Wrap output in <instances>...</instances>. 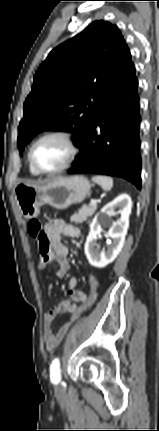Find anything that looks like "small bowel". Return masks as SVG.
<instances>
[{"label": "small bowel", "instance_id": "1", "mask_svg": "<svg viewBox=\"0 0 159 431\" xmlns=\"http://www.w3.org/2000/svg\"><path fill=\"white\" fill-rule=\"evenodd\" d=\"M62 235L67 237H79L80 230L71 224H67L61 219H51L47 221L43 228V236L37 238L39 246V262L40 270L54 263L57 266L56 275L60 278L64 277L70 270V264L67 259L68 248L62 242ZM52 285L48 286L51 291ZM68 293L71 300H61L45 316L44 323V342L48 351H54L62 342L72 322L77 318L74 316L75 310H79L78 306L87 298L88 292L84 293L77 289V278L71 277L68 282ZM98 296V290L95 291ZM91 304L94 303L90 301ZM68 314L70 319L64 322L58 330H54L53 322L59 314Z\"/></svg>", "mask_w": 159, "mask_h": 431}]
</instances>
